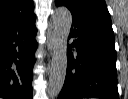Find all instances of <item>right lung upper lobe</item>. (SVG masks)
Returning <instances> with one entry per match:
<instances>
[{
  "label": "right lung upper lobe",
  "instance_id": "right-lung-upper-lobe-1",
  "mask_svg": "<svg viewBox=\"0 0 128 99\" xmlns=\"http://www.w3.org/2000/svg\"><path fill=\"white\" fill-rule=\"evenodd\" d=\"M33 14L32 0H0V32Z\"/></svg>",
  "mask_w": 128,
  "mask_h": 99
}]
</instances>
